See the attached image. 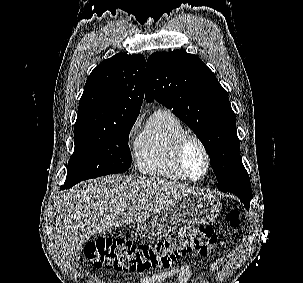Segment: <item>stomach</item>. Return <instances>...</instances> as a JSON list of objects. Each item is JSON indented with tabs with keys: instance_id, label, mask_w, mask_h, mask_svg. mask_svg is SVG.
Wrapping results in <instances>:
<instances>
[{
	"instance_id": "stomach-1",
	"label": "stomach",
	"mask_w": 303,
	"mask_h": 283,
	"mask_svg": "<svg viewBox=\"0 0 303 283\" xmlns=\"http://www.w3.org/2000/svg\"><path fill=\"white\" fill-rule=\"evenodd\" d=\"M221 210L219 199L210 193L196 192L176 198L165 207L138 222L144 238L160 239L174 231L180 223L208 224Z\"/></svg>"
}]
</instances>
